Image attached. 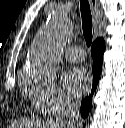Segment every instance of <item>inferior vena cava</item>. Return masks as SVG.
I'll use <instances>...</instances> for the list:
<instances>
[{"mask_svg":"<svg viewBox=\"0 0 125 128\" xmlns=\"http://www.w3.org/2000/svg\"><path fill=\"white\" fill-rule=\"evenodd\" d=\"M78 122V105L74 102H66L64 104V113L61 120L62 126L72 127Z\"/></svg>","mask_w":125,"mask_h":128,"instance_id":"602c4592","label":"inferior vena cava"}]
</instances>
